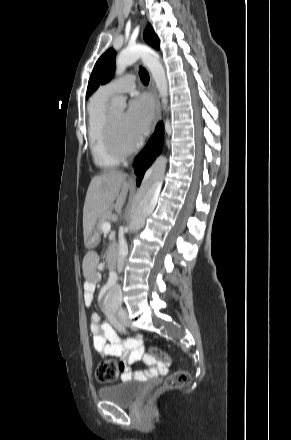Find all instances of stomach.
<instances>
[{
  "mask_svg": "<svg viewBox=\"0 0 291 440\" xmlns=\"http://www.w3.org/2000/svg\"><path fill=\"white\" fill-rule=\"evenodd\" d=\"M99 241V234L97 232H92L85 241V245L88 248L94 247Z\"/></svg>",
  "mask_w": 291,
  "mask_h": 440,
  "instance_id": "stomach-1",
  "label": "stomach"
}]
</instances>
